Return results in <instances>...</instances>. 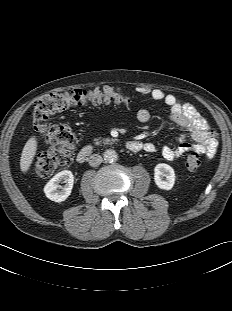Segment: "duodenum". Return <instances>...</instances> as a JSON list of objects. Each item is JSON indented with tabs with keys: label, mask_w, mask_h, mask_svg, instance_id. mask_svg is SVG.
Segmentation results:
<instances>
[{
	"label": "duodenum",
	"mask_w": 232,
	"mask_h": 311,
	"mask_svg": "<svg viewBox=\"0 0 232 311\" xmlns=\"http://www.w3.org/2000/svg\"><path fill=\"white\" fill-rule=\"evenodd\" d=\"M126 147L131 152H140L143 149L142 143L138 141H128ZM93 154V147L91 145L84 146L77 154V161L80 163L85 162Z\"/></svg>",
	"instance_id": "duodenum-1"
}]
</instances>
